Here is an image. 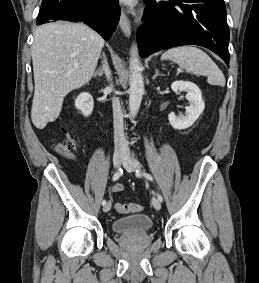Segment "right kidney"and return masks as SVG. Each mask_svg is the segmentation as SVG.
<instances>
[{"label":"right kidney","instance_id":"right-kidney-1","mask_svg":"<svg viewBox=\"0 0 259 283\" xmlns=\"http://www.w3.org/2000/svg\"><path fill=\"white\" fill-rule=\"evenodd\" d=\"M75 107L80 110L85 117L90 116L94 108L93 97L87 92L79 94L75 100Z\"/></svg>","mask_w":259,"mask_h":283}]
</instances>
